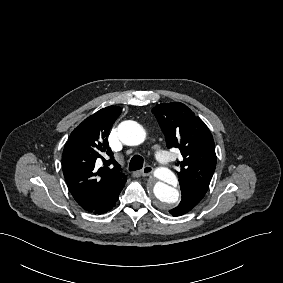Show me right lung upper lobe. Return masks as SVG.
I'll return each mask as SVG.
<instances>
[{
	"label": "right lung upper lobe",
	"instance_id": "cb5924a9",
	"mask_svg": "<svg viewBox=\"0 0 283 283\" xmlns=\"http://www.w3.org/2000/svg\"><path fill=\"white\" fill-rule=\"evenodd\" d=\"M121 113L118 106L103 108L73 130L64 147L62 168L68 188L82 208H91L111 195L126 182V175L114 160L108 134ZM111 158L106 161L102 155ZM103 167L97 169L96 161Z\"/></svg>",
	"mask_w": 283,
	"mask_h": 283
}]
</instances>
